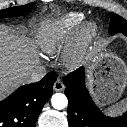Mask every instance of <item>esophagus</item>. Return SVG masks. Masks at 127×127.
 I'll use <instances>...</instances> for the list:
<instances>
[{
  "label": "esophagus",
  "mask_w": 127,
  "mask_h": 127,
  "mask_svg": "<svg viewBox=\"0 0 127 127\" xmlns=\"http://www.w3.org/2000/svg\"><path fill=\"white\" fill-rule=\"evenodd\" d=\"M53 89L56 92H60L64 89V84L60 79H57L53 85Z\"/></svg>",
  "instance_id": "34e87169"
}]
</instances>
